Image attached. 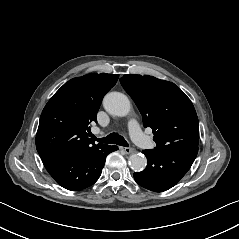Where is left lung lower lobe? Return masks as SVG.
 I'll use <instances>...</instances> for the list:
<instances>
[{
    "label": "left lung lower lobe",
    "mask_w": 239,
    "mask_h": 239,
    "mask_svg": "<svg viewBox=\"0 0 239 239\" xmlns=\"http://www.w3.org/2000/svg\"><path fill=\"white\" fill-rule=\"evenodd\" d=\"M147 167L135 172L134 179L142 187L155 192L170 189L176 185L193 164L197 152L190 150L157 151L144 150Z\"/></svg>",
    "instance_id": "0a47b994"
}]
</instances>
